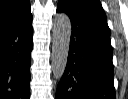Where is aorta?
<instances>
[{
  "mask_svg": "<svg viewBox=\"0 0 128 99\" xmlns=\"http://www.w3.org/2000/svg\"><path fill=\"white\" fill-rule=\"evenodd\" d=\"M71 37L70 18L60 13L55 16L52 39V71L56 80L61 79L67 65Z\"/></svg>",
  "mask_w": 128,
  "mask_h": 99,
  "instance_id": "obj_1",
  "label": "aorta"
}]
</instances>
